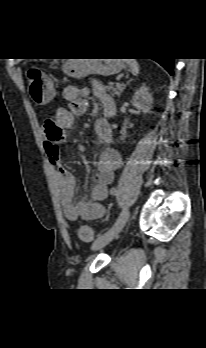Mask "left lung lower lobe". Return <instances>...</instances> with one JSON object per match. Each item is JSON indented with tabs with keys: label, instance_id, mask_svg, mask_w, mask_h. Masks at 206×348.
<instances>
[{
	"label": "left lung lower lobe",
	"instance_id": "left-lung-lower-lobe-1",
	"mask_svg": "<svg viewBox=\"0 0 206 348\" xmlns=\"http://www.w3.org/2000/svg\"><path fill=\"white\" fill-rule=\"evenodd\" d=\"M155 60L160 65H162L170 73V75H173L174 58H162V59H155Z\"/></svg>",
	"mask_w": 206,
	"mask_h": 348
}]
</instances>
